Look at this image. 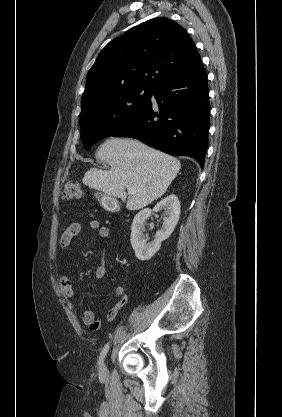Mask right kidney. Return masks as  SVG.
Returning a JSON list of instances; mask_svg holds the SVG:
<instances>
[{
  "label": "right kidney",
  "mask_w": 282,
  "mask_h": 417,
  "mask_svg": "<svg viewBox=\"0 0 282 417\" xmlns=\"http://www.w3.org/2000/svg\"><path fill=\"white\" fill-rule=\"evenodd\" d=\"M180 202L176 194H169L166 198H162L160 202H157L154 206V213L157 211H164L165 221L162 225L161 231H157L156 237L153 243H147L148 239L145 237L144 223L148 217H150L151 209H142L137 215H135L131 227V245L134 249L135 257L139 261H149L153 255L159 251L162 241L168 239L171 233H173L180 217Z\"/></svg>",
  "instance_id": "right-kidney-1"
}]
</instances>
